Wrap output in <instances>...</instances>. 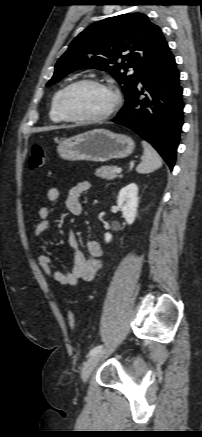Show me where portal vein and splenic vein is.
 Instances as JSON below:
<instances>
[{
  "instance_id": "portal-vein-and-splenic-vein-1",
  "label": "portal vein and splenic vein",
  "mask_w": 202,
  "mask_h": 437,
  "mask_svg": "<svg viewBox=\"0 0 202 437\" xmlns=\"http://www.w3.org/2000/svg\"><path fill=\"white\" fill-rule=\"evenodd\" d=\"M121 172H122V169H121V168H117V169H116V173H117V174H120Z\"/></svg>"
}]
</instances>
